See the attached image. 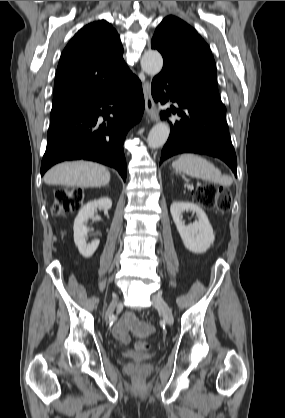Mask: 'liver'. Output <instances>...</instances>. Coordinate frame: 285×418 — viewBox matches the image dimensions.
<instances>
[{
  "mask_svg": "<svg viewBox=\"0 0 285 418\" xmlns=\"http://www.w3.org/2000/svg\"><path fill=\"white\" fill-rule=\"evenodd\" d=\"M104 166L86 161L64 162L51 168L44 176L48 185L67 187H102L110 182Z\"/></svg>",
  "mask_w": 285,
  "mask_h": 418,
  "instance_id": "liver-1",
  "label": "liver"
}]
</instances>
